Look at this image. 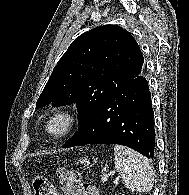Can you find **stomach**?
Here are the masks:
<instances>
[{
	"instance_id": "obj_1",
	"label": "stomach",
	"mask_w": 189,
	"mask_h": 195,
	"mask_svg": "<svg viewBox=\"0 0 189 195\" xmlns=\"http://www.w3.org/2000/svg\"><path fill=\"white\" fill-rule=\"evenodd\" d=\"M77 163L83 164L84 167L88 168L90 165V160L88 159V156H86V157L79 158Z\"/></svg>"
}]
</instances>
